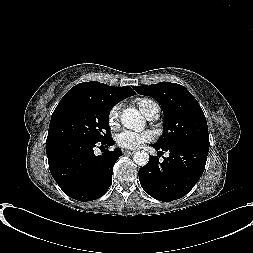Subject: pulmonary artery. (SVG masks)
<instances>
[{
  "mask_svg": "<svg viewBox=\"0 0 253 253\" xmlns=\"http://www.w3.org/2000/svg\"><path fill=\"white\" fill-rule=\"evenodd\" d=\"M159 106L157 103L153 102L146 117L149 119V120H155L158 118L159 116Z\"/></svg>",
  "mask_w": 253,
  "mask_h": 253,
  "instance_id": "1",
  "label": "pulmonary artery"
}]
</instances>
